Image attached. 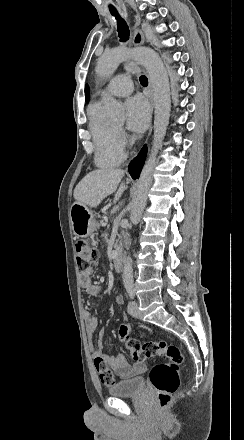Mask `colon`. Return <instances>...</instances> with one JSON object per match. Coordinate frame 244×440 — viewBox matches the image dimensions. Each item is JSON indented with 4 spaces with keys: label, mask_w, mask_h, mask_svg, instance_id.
<instances>
[{
    "label": "colon",
    "mask_w": 244,
    "mask_h": 440,
    "mask_svg": "<svg viewBox=\"0 0 244 440\" xmlns=\"http://www.w3.org/2000/svg\"><path fill=\"white\" fill-rule=\"evenodd\" d=\"M76 264L80 269H85L89 264L95 263L99 258V251L90 247L85 240H78L75 244ZM129 324L121 325V336L125 347L129 350L132 359L136 363H142L149 357H161L168 360L152 366L151 381L156 389L158 410H167L172 395L179 386V377L171 367L170 362L181 364L184 360L182 351L176 345L168 344L164 340L153 343L140 344L136 340L127 338ZM94 365L105 384H113L115 376L108 367L105 359L96 357Z\"/></svg>",
    "instance_id": "colon-1"
}]
</instances>
